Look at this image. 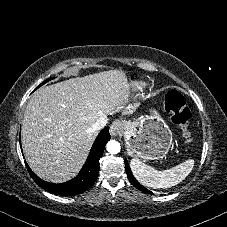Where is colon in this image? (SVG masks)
<instances>
[{
    "label": "colon",
    "mask_w": 227,
    "mask_h": 227,
    "mask_svg": "<svg viewBox=\"0 0 227 227\" xmlns=\"http://www.w3.org/2000/svg\"><path fill=\"white\" fill-rule=\"evenodd\" d=\"M166 108L172 116V121L177 126L181 138L185 142L192 140L189 130L190 110L186 98L178 91L173 90L166 96Z\"/></svg>",
    "instance_id": "5ec220e1"
}]
</instances>
